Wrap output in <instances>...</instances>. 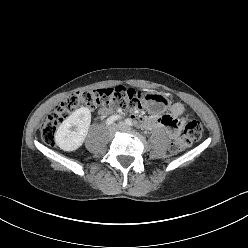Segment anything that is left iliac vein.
Listing matches in <instances>:
<instances>
[{"mask_svg":"<svg viewBox=\"0 0 248 248\" xmlns=\"http://www.w3.org/2000/svg\"><path fill=\"white\" fill-rule=\"evenodd\" d=\"M119 128L121 130H130V128L126 124H124V123H120L119 124Z\"/></svg>","mask_w":248,"mask_h":248,"instance_id":"left-iliac-vein-1","label":"left iliac vein"}]
</instances>
